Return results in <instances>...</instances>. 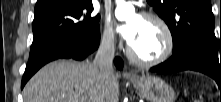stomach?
<instances>
[{"mask_svg": "<svg viewBox=\"0 0 221 102\" xmlns=\"http://www.w3.org/2000/svg\"><path fill=\"white\" fill-rule=\"evenodd\" d=\"M132 83L149 102H174L176 99L173 88L161 78L141 76L133 79Z\"/></svg>", "mask_w": 221, "mask_h": 102, "instance_id": "stomach-1", "label": "stomach"}]
</instances>
